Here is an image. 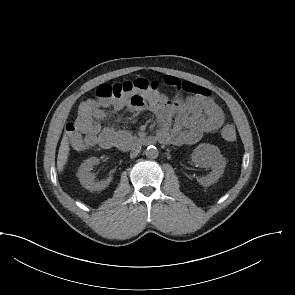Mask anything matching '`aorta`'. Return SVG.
Returning a JSON list of instances; mask_svg holds the SVG:
<instances>
[{
  "instance_id": "762f6f07",
  "label": "aorta",
  "mask_w": 295,
  "mask_h": 295,
  "mask_svg": "<svg viewBox=\"0 0 295 295\" xmlns=\"http://www.w3.org/2000/svg\"><path fill=\"white\" fill-rule=\"evenodd\" d=\"M145 155L150 158V159H155L158 157L159 155V151L158 149L153 146V145H150L147 147V149L145 150Z\"/></svg>"
}]
</instances>
